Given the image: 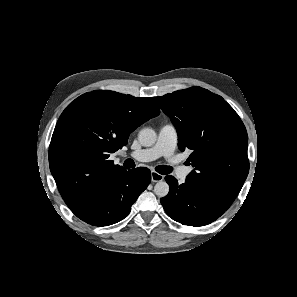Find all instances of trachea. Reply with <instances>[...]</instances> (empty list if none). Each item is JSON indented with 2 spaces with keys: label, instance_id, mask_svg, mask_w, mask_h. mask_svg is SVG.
Segmentation results:
<instances>
[{
  "label": "trachea",
  "instance_id": "1",
  "mask_svg": "<svg viewBox=\"0 0 297 297\" xmlns=\"http://www.w3.org/2000/svg\"><path fill=\"white\" fill-rule=\"evenodd\" d=\"M124 166L127 168H133L135 167V162L132 159H127L124 162ZM172 170H173L172 167L165 166V165H160L156 167V171L163 175L171 173Z\"/></svg>",
  "mask_w": 297,
  "mask_h": 297
}]
</instances>
